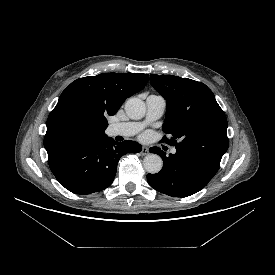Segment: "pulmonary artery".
Returning a JSON list of instances; mask_svg holds the SVG:
<instances>
[{
	"instance_id": "pulmonary-artery-1",
	"label": "pulmonary artery",
	"mask_w": 275,
	"mask_h": 275,
	"mask_svg": "<svg viewBox=\"0 0 275 275\" xmlns=\"http://www.w3.org/2000/svg\"><path fill=\"white\" fill-rule=\"evenodd\" d=\"M147 112L142 122H125L113 124L108 128L110 136L130 137L138 133L145 125L159 119L166 108V101L160 95H150L146 99ZM171 153L175 154L176 149L172 148Z\"/></svg>"
}]
</instances>
